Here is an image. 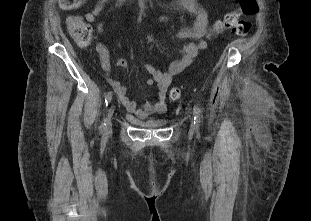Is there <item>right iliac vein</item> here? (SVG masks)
I'll return each instance as SVG.
<instances>
[{"instance_id":"1","label":"right iliac vein","mask_w":311,"mask_h":221,"mask_svg":"<svg viewBox=\"0 0 311 221\" xmlns=\"http://www.w3.org/2000/svg\"><path fill=\"white\" fill-rule=\"evenodd\" d=\"M114 113V107L110 106L108 109V113H107V124H106V129L105 132L108 133L111 131L112 129V116Z\"/></svg>"}]
</instances>
